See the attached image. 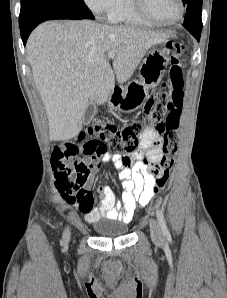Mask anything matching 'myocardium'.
<instances>
[{
  "mask_svg": "<svg viewBox=\"0 0 227 298\" xmlns=\"http://www.w3.org/2000/svg\"><path fill=\"white\" fill-rule=\"evenodd\" d=\"M178 3V15L167 22L164 21H160L156 18H154L148 11L147 9V5H146V0H131V5L133 10L136 12V14L141 17L142 19H144L145 21L149 22L152 25H156V26H171L176 24L177 22H179L184 14V3L183 0H177Z\"/></svg>",
  "mask_w": 227,
  "mask_h": 298,
  "instance_id": "obj_1",
  "label": "myocardium"
}]
</instances>
